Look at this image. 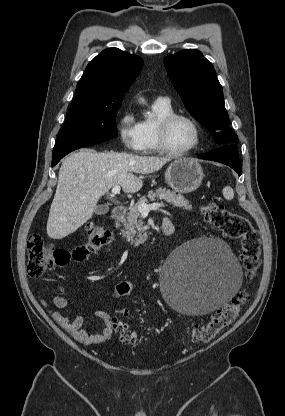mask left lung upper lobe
I'll use <instances>...</instances> for the list:
<instances>
[{"mask_svg": "<svg viewBox=\"0 0 285 416\" xmlns=\"http://www.w3.org/2000/svg\"><path fill=\"white\" fill-rule=\"evenodd\" d=\"M164 64L172 84L191 115L213 133L221 144L238 143L229 128L223 90L213 65L196 49L167 56Z\"/></svg>", "mask_w": 285, "mask_h": 416, "instance_id": "obj_1", "label": "left lung upper lobe"}]
</instances>
